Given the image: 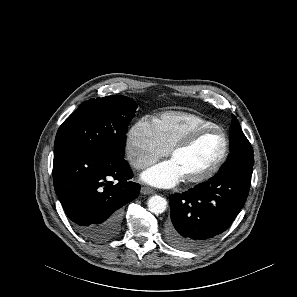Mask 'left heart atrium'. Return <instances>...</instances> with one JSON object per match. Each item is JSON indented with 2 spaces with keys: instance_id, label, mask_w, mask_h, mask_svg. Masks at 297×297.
Returning <instances> with one entry per match:
<instances>
[{
  "instance_id": "1",
  "label": "left heart atrium",
  "mask_w": 297,
  "mask_h": 297,
  "mask_svg": "<svg viewBox=\"0 0 297 297\" xmlns=\"http://www.w3.org/2000/svg\"><path fill=\"white\" fill-rule=\"evenodd\" d=\"M183 178L177 164L171 159L159 163L142 174V179L157 187L168 188L176 185Z\"/></svg>"
}]
</instances>
